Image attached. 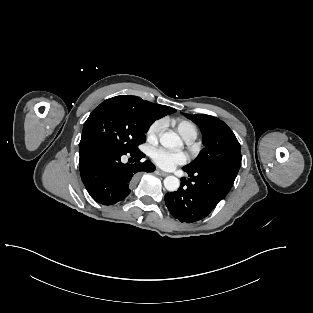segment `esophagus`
I'll use <instances>...</instances> for the list:
<instances>
[{
  "mask_svg": "<svg viewBox=\"0 0 313 313\" xmlns=\"http://www.w3.org/2000/svg\"><path fill=\"white\" fill-rule=\"evenodd\" d=\"M157 173H158L160 176H163V177L168 176V173H167V172H164V171L159 170V169H157Z\"/></svg>",
  "mask_w": 313,
  "mask_h": 313,
  "instance_id": "34e87169",
  "label": "esophagus"
}]
</instances>
